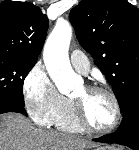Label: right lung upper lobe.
I'll list each match as a JSON object with an SVG mask.
<instances>
[{
    "label": "right lung upper lobe",
    "instance_id": "1",
    "mask_svg": "<svg viewBox=\"0 0 139 150\" xmlns=\"http://www.w3.org/2000/svg\"><path fill=\"white\" fill-rule=\"evenodd\" d=\"M48 29V18L28 2L0 3V53L36 60Z\"/></svg>",
    "mask_w": 139,
    "mask_h": 150
}]
</instances>
